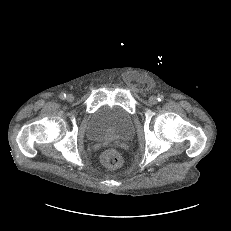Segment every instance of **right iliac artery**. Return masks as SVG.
<instances>
[{"instance_id": "obj_1", "label": "right iliac artery", "mask_w": 231, "mask_h": 231, "mask_svg": "<svg viewBox=\"0 0 231 231\" xmlns=\"http://www.w3.org/2000/svg\"><path fill=\"white\" fill-rule=\"evenodd\" d=\"M62 100H64L66 98V94L65 93H61L59 96Z\"/></svg>"}]
</instances>
